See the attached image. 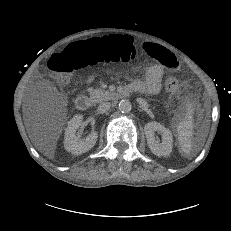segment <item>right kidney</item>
I'll return each mask as SVG.
<instances>
[{
  "instance_id": "obj_1",
  "label": "right kidney",
  "mask_w": 231,
  "mask_h": 231,
  "mask_svg": "<svg viewBox=\"0 0 231 231\" xmlns=\"http://www.w3.org/2000/svg\"><path fill=\"white\" fill-rule=\"evenodd\" d=\"M83 120L82 115H75L69 122L65 131L64 147L66 151L80 155L91 150L96 144L98 133L92 131L84 140H80L76 136V131L81 126Z\"/></svg>"
}]
</instances>
